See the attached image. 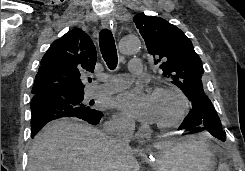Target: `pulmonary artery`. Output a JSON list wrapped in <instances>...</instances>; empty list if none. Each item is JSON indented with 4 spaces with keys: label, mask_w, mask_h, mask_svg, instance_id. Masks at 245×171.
<instances>
[{
    "label": "pulmonary artery",
    "mask_w": 245,
    "mask_h": 171,
    "mask_svg": "<svg viewBox=\"0 0 245 171\" xmlns=\"http://www.w3.org/2000/svg\"><path fill=\"white\" fill-rule=\"evenodd\" d=\"M129 72L132 74H138L142 72V63L139 58H133L129 64ZM131 82L130 74H120L111 76L107 79L106 83L98 86H91L87 95L90 98L103 96L118 92L129 86Z\"/></svg>",
    "instance_id": "obj_1"
}]
</instances>
